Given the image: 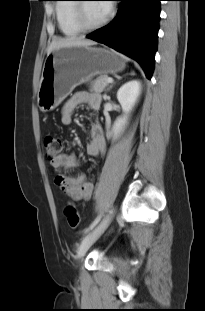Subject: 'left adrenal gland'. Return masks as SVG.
Returning <instances> with one entry per match:
<instances>
[{
	"mask_svg": "<svg viewBox=\"0 0 205 311\" xmlns=\"http://www.w3.org/2000/svg\"><path fill=\"white\" fill-rule=\"evenodd\" d=\"M131 75H134V72L131 73ZM115 83H113L109 88H108V91L113 87Z\"/></svg>",
	"mask_w": 205,
	"mask_h": 311,
	"instance_id": "1",
	"label": "left adrenal gland"
}]
</instances>
